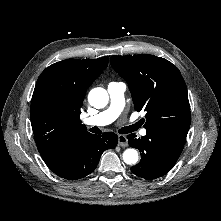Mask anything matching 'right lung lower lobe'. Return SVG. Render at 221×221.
<instances>
[{
	"label": "right lung lower lobe",
	"mask_w": 221,
	"mask_h": 221,
	"mask_svg": "<svg viewBox=\"0 0 221 221\" xmlns=\"http://www.w3.org/2000/svg\"><path fill=\"white\" fill-rule=\"evenodd\" d=\"M118 137L115 133L106 132L103 136L88 134L70 145L64 152L50 161L47 166L59 177L77 180L92 173L107 149L117 146Z\"/></svg>",
	"instance_id": "right-lung-lower-lobe-1"
}]
</instances>
